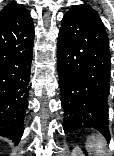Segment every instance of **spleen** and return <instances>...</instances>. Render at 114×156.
<instances>
[{"label": "spleen", "mask_w": 114, "mask_h": 156, "mask_svg": "<svg viewBox=\"0 0 114 156\" xmlns=\"http://www.w3.org/2000/svg\"><path fill=\"white\" fill-rule=\"evenodd\" d=\"M107 143L101 134L90 135L86 141V150L89 156H108Z\"/></svg>", "instance_id": "1"}]
</instances>
